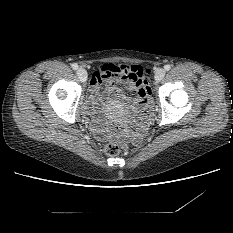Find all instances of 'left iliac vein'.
I'll list each match as a JSON object with an SVG mask.
<instances>
[{
	"label": "left iliac vein",
	"mask_w": 233,
	"mask_h": 233,
	"mask_svg": "<svg viewBox=\"0 0 233 233\" xmlns=\"http://www.w3.org/2000/svg\"><path fill=\"white\" fill-rule=\"evenodd\" d=\"M165 75V70L163 68H158L155 72V80L157 82L161 81Z\"/></svg>",
	"instance_id": "left-iliac-vein-1"
}]
</instances>
